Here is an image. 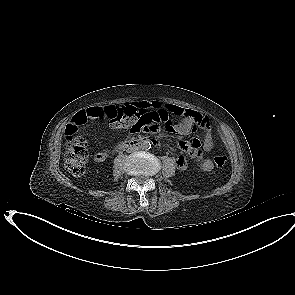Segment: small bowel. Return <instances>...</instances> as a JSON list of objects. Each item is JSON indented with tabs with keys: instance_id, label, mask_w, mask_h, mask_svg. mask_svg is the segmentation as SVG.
<instances>
[{
	"instance_id": "1",
	"label": "small bowel",
	"mask_w": 295,
	"mask_h": 295,
	"mask_svg": "<svg viewBox=\"0 0 295 295\" xmlns=\"http://www.w3.org/2000/svg\"><path fill=\"white\" fill-rule=\"evenodd\" d=\"M139 110L152 109L155 112L165 111L168 114L177 116L180 118L179 123L175 126L174 131L186 135L197 128L204 131V138H192L190 140H179L176 142V146L186 152L191 158L198 162L199 168L204 172H209L213 169V162L203 157V152H209L214 146L213 136L211 134L210 119L191 109H187L181 106L167 104L163 105L159 101H139L132 104ZM102 115V109L99 106H92L78 111L71 120L69 125L79 127L86 125L90 120L99 118ZM109 156L107 150L100 151L94 154V161L97 163L104 162ZM176 165L178 169L184 171L188 167L187 160L184 156H180Z\"/></svg>"
}]
</instances>
